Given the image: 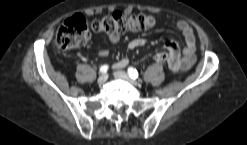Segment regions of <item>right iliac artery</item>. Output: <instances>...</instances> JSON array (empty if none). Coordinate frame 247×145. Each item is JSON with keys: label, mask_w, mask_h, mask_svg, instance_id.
<instances>
[{"label": "right iliac artery", "mask_w": 247, "mask_h": 145, "mask_svg": "<svg viewBox=\"0 0 247 145\" xmlns=\"http://www.w3.org/2000/svg\"><path fill=\"white\" fill-rule=\"evenodd\" d=\"M108 65H103V66H101V68H100V72H102V73H106L107 72V70H108Z\"/></svg>", "instance_id": "right-iliac-artery-1"}]
</instances>
